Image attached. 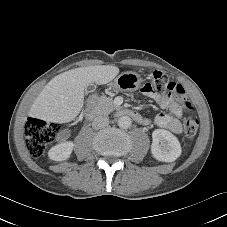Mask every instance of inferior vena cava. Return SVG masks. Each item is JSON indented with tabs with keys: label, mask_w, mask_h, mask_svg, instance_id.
I'll return each mask as SVG.
<instances>
[{
	"label": "inferior vena cava",
	"mask_w": 227,
	"mask_h": 227,
	"mask_svg": "<svg viewBox=\"0 0 227 227\" xmlns=\"http://www.w3.org/2000/svg\"><path fill=\"white\" fill-rule=\"evenodd\" d=\"M109 124V118L105 116H97L93 122H92V127L94 129H100L102 127H105Z\"/></svg>",
	"instance_id": "inferior-vena-cava-1"
}]
</instances>
